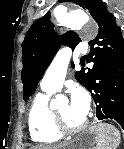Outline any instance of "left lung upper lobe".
<instances>
[{"label": "left lung upper lobe", "mask_w": 124, "mask_h": 149, "mask_svg": "<svg viewBox=\"0 0 124 149\" xmlns=\"http://www.w3.org/2000/svg\"><path fill=\"white\" fill-rule=\"evenodd\" d=\"M88 10L98 25V34L89 42L90 53L81 60L94 62L91 69L76 72V80L86 89L92 82L99 64L124 53V38L113 14L109 13L102 0L71 1ZM50 12L39 18L29 28L22 43L23 69L21 73L24 100L34 94L37 84L61 45L73 49L81 42L74 31L58 36L53 30ZM72 67L74 64L72 62Z\"/></svg>", "instance_id": "5c2ea615"}]
</instances>
